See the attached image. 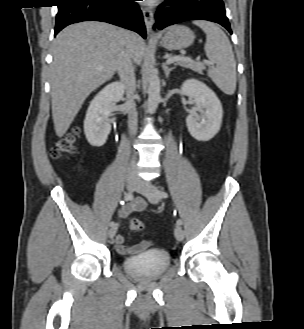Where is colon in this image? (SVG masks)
Wrapping results in <instances>:
<instances>
[{
  "mask_svg": "<svg viewBox=\"0 0 304 329\" xmlns=\"http://www.w3.org/2000/svg\"><path fill=\"white\" fill-rule=\"evenodd\" d=\"M79 137V129L75 128L63 136L51 151L54 159H62L75 153L77 140ZM130 230L133 232H142L144 230L143 223L138 219H132L129 224Z\"/></svg>",
  "mask_w": 304,
  "mask_h": 329,
  "instance_id": "colon-1",
  "label": "colon"
}]
</instances>
